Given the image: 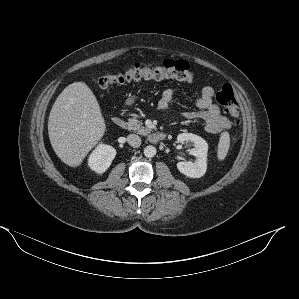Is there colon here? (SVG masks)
Returning <instances> with one entry per match:
<instances>
[{
	"mask_svg": "<svg viewBox=\"0 0 299 299\" xmlns=\"http://www.w3.org/2000/svg\"><path fill=\"white\" fill-rule=\"evenodd\" d=\"M193 78V73L186 61L165 60L159 65L136 63L115 73L102 75L96 80V85L101 89H107L140 80L191 82ZM216 100L224 107L229 116L232 118L238 117V103L231 85L224 84L216 93Z\"/></svg>",
	"mask_w": 299,
	"mask_h": 299,
	"instance_id": "5ec220e1",
	"label": "colon"
}]
</instances>
